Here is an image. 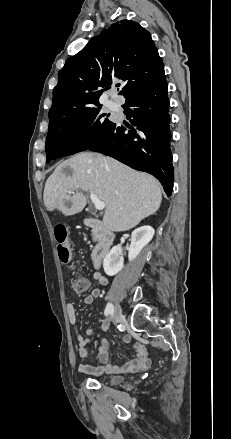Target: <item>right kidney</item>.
Returning <instances> with one entry per match:
<instances>
[{
  "instance_id": "ca27d5eb",
  "label": "right kidney",
  "mask_w": 231,
  "mask_h": 439,
  "mask_svg": "<svg viewBox=\"0 0 231 439\" xmlns=\"http://www.w3.org/2000/svg\"><path fill=\"white\" fill-rule=\"evenodd\" d=\"M154 229L151 226H141L135 229L131 235V244L128 249L129 261L134 260L141 250L152 240ZM123 256L117 246L113 247L103 260L104 272L108 276H114L122 270Z\"/></svg>"
}]
</instances>
